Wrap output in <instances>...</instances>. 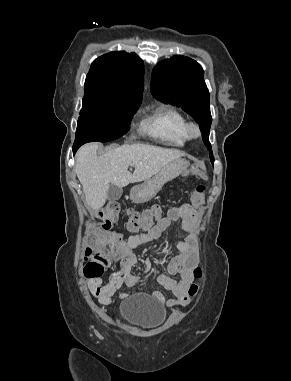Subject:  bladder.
I'll list each match as a JSON object with an SVG mask.
<instances>
[{
  "instance_id": "31cf9c89",
  "label": "bladder",
  "mask_w": 291,
  "mask_h": 381,
  "mask_svg": "<svg viewBox=\"0 0 291 381\" xmlns=\"http://www.w3.org/2000/svg\"><path fill=\"white\" fill-rule=\"evenodd\" d=\"M119 314L121 320L129 326L151 329L163 322L166 312L163 306L150 297L134 295L123 299Z\"/></svg>"
}]
</instances>
